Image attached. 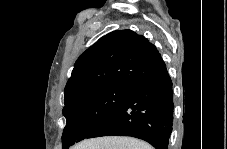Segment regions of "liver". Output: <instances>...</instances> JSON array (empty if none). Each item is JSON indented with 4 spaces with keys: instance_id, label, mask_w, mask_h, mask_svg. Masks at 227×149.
Masks as SVG:
<instances>
[{
    "instance_id": "6515ba94",
    "label": "liver",
    "mask_w": 227,
    "mask_h": 149,
    "mask_svg": "<svg viewBox=\"0 0 227 149\" xmlns=\"http://www.w3.org/2000/svg\"><path fill=\"white\" fill-rule=\"evenodd\" d=\"M75 149H152V146L132 137L106 136L84 140Z\"/></svg>"
}]
</instances>
